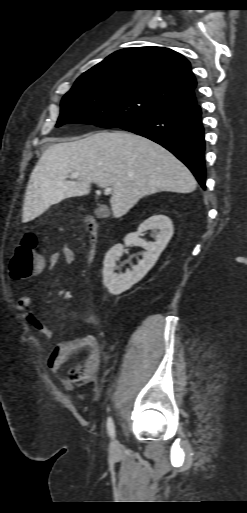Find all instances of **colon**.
I'll return each instance as SVG.
<instances>
[{
  "label": "colon",
  "instance_id": "1",
  "mask_svg": "<svg viewBox=\"0 0 247 513\" xmlns=\"http://www.w3.org/2000/svg\"><path fill=\"white\" fill-rule=\"evenodd\" d=\"M42 262L36 254V238L26 234L17 245L14 257L10 262V275L13 280L27 279L37 273Z\"/></svg>",
  "mask_w": 247,
  "mask_h": 513
}]
</instances>
